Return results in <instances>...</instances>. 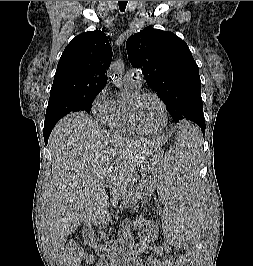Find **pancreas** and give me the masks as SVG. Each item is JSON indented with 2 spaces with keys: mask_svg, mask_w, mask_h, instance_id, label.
Returning a JSON list of instances; mask_svg holds the SVG:
<instances>
[{
  "mask_svg": "<svg viewBox=\"0 0 253 266\" xmlns=\"http://www.w3.org/2000/svg\"><path fill=\"white\" fill-rule=\"evenodd\" d=\"M144 201V186L142 181L132 184L131 190L128 193V196L124 199L125 203H136L138 201ZM141 241H144V238H141Z\"/></svg>",
  "mask_w": 253,
  "mask_h": 266,
  "instance_id": "pancreas-1",
  "label": "pancreas"
}]
</instances>
